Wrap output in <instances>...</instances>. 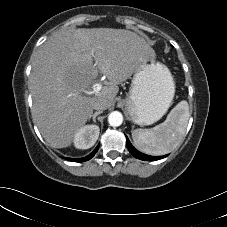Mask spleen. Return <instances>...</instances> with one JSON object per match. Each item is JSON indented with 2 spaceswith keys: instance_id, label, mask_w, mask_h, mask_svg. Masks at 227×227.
I'll list each match as a JSON object with an SVG mask.
<instances>
[{
  "instance_id": "spleen-1",
  "label": "spleen",
  "mask_w": 227,
  "mask_h": 227,
  "mask_svg": "<svg viewBox=\"0 0 227 227\" xmlns=\"http://www.w3.org/2000/svg\"><path fill=\"white\" fill-rule=\"evenodd\" d=\"M190 117L187 101L179 102L166 120L150 129H135L132 139L135 146L149 155H164L176 148L183 139Z\"/></svg>"
}]
</instances>
